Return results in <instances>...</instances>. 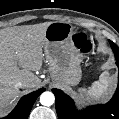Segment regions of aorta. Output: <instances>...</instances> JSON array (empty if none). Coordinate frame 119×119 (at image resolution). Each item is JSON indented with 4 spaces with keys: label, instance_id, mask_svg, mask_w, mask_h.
Instances as JSON below:
<instances>
[{
    "label": "aorta",
    "instance_id": "aorta-1",
    "mask_svg": "<svg viewBox=\"0 0 119 119\" xmlns=\"http://www.w3.org/2000/svg\"><path fill=\"white\" fill-rule=\"evenodd\" d=\"M55 97L52 92H43L40 96V102L42 105L50 106L54 103Z\"/></svg>",
    "mask_w": 119,
    "mask_h": 119
}]
</instances>
